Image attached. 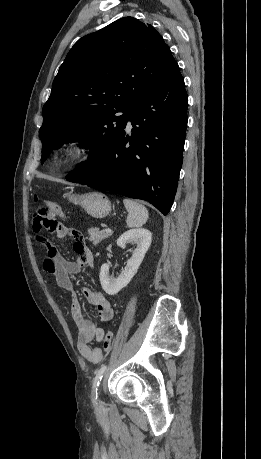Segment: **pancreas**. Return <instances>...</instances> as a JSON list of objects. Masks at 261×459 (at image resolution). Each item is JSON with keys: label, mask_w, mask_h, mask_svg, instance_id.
Wrapping results in <instances>:
<instances>
[{"label": "pancreas", "mask_w": 261, "mask_h": 459, "mask_svg": "<svg viewBox=\"0 0 261 459\" xmlns=\"http://www.w3.org/2000/svg\"><path fill=\"white\" fill-rule=\"evenodd\" d=\"M88 234L90 236V241L93 242L94 245H97L100 243L102 240L108 238L111 236L112 233H108L104 230L100 231L98 228H89L88 229Z\"/></svg>", "instance_id": "1"}]
</instances>
